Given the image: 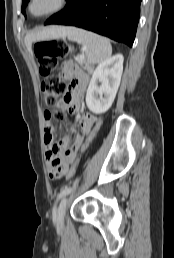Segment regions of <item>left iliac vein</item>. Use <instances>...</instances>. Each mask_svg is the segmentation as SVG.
<instances>
[{
	"label": "left iliac vein",
	"instance_id": "4c4485c4",
	"mask_svg": "<svg viewBox=\"0 0 174 258\" xmlns=\"http://www.w3.org/2000/svg\"><path fill=\"white\" fill-rule=\"evenodd\" d=\"M68 201H69V197L65 195L59 204L57 215H56L57 225H62L64 223V216H65Z\"/></svg>",
	"mask_w": 174,
	"mask_h": 258
}]
</instances>
